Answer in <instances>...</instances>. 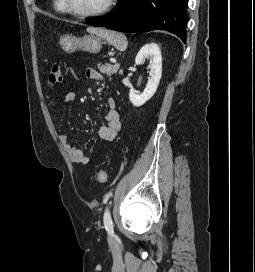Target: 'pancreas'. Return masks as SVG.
<instances>
[{
    "instance_id": "obj_1",
    "label": "pancreas",
    "mask_w": 255,
    "mask_h": 272,
    "mask_svg": "<svg viewBox=\"0 0 255 272\" xmlns=\"http://www.w3.org/2000/svg\"><path fill=\"white\" fill-rule=\"evenodd\" d=\"M99 71L107 76H111L113 74H116L119 70L120 64L119 63H115L114 65L112 64H105V65H97Z\"/></svg>"
}]
</instances>
